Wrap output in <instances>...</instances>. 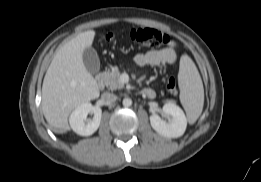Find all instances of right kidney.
I'll use <instances>...</instances> for the list:
<instances>
[{
  "label": "right kidney",
  "mask_w": 261,
  "mask_h": 182,
  "mask_svg": "<svg viewBox=\"0 0 261 182\" xmlns=\"http://www.w3.org/2000/svg\"><path fill=\"white\" fill-rule=\"evenodd\" d=\"M93 114V118L87 120V115ZM102 117L100 107L93 106L89 102H85L71 113L69 122L73 131L82 136H90L99 128Z\"/></svg>",
  "instance_id": "1"
}]
</instances>
